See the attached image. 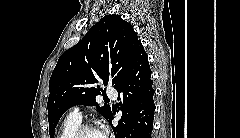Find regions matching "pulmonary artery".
Returning <instances> with one entry per match:
<instances>
[{
	"instance_id": "obj_1",
	"label": "pulmonary artery",
	"mask_w": 240,
	"mask_h": 138,
	"mask_svg": "<svg viewBox=\"0 0 240 138\" xmlns=\"http://www.w3.org/2000/svg\"><path fill=\"white\" fill-rule=\"evenodd\" d=\"M107 93H108V96L112 99H116L118 96L117 91L113 87H109L107 90ZM70 117L81 120L82 115H81L80 109L77 106L71 109Z\"/></svg>"
}]
</instances>
